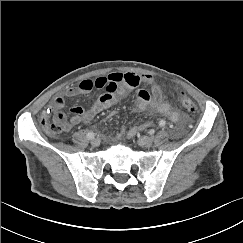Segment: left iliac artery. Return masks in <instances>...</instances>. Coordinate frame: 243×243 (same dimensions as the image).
I'll return each mask as SVG.
<instances>
[{
  "instance_id": "44dca946",
  "label": "left iliac artery",
  "mask_w": 243,
  "mask_h": 243,
  "mask_svg": "<svg viewBox=\"0 0 243 243\" xmlns=\"http://www.w3.org/2000/svg\"><path fill=\"white\" fill-rule=\"evenodd\" d=\"M165 124H166V122L164 120L159 121V127H164ZM150 133H152V131H150Z\"/></svg>"
}]
</instances>
